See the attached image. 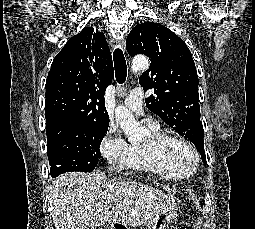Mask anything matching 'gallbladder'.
Returning a JSON list of instances; mask_svg holds the SVG:
<instances>
[{"label":"gallbladder","instance_id":"1","mask_svg":"<svg viewBox=\"0 0 255 229\" xmlns=\"http://www.w3.org/2000/svg\"><path fill=\"white\" fill-rule=\"evenodd\" d=\"M87 229H96V228H87Z\"/></svg>","mask_w":255,"mask_h":229}]
</instances>
